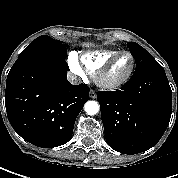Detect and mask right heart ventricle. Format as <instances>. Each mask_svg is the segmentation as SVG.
I'll return each mask as SVG.
<instances>
[{
	"label": "right heart ventricle",
	"mask_w": 178,
	"mask_h": 178,
	"mask_svg": "<svg viewBox=\"0 0 178 178\" xmlns=\"http://www.w3.org/2000/svg\"><path fill=\"white\" fill-rule=\"evenodd\" d=\"M118 52L120 51L110 49L87 52L81 55L80 62L86 70L95 73Z\"/></svg>",
	"instance_id": "1"
}]
</instances>
